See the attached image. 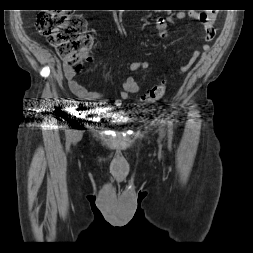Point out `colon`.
Listing matches in <instances>:
<instances>
[{"mask_svg":"<svg viewBox=\"0 0 253 253\" xmlns=\"http://www.w3.org/2000/svg\"><path fill=\"white\" fill-rule=\"evenodd\" d=\"M37 27L56 47L65 64L78 72L92 46V39L86 33L85 20L78 15H68L61 11L43 12L38 15ZM166 87L167 81H161L143 95L141 101L148 104L159 100Z\"/></svg>","mask_w":253,"mask_h":253,"instance_id":"1","label":"colon"}]
</instances>
